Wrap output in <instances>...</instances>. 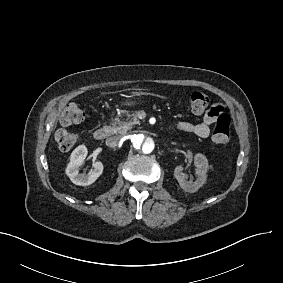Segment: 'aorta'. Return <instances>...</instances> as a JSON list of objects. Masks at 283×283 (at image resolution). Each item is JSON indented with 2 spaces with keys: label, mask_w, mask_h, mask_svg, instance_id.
I'll use <instances>...</instances> for the list:
<instances>
[{
  "label": "aorta",
  "mask_w": 283,
  "mask_h": 283,
  "mask_svg": "<svg viewBox=\"0 0 283 283\" xmlns=\"http://www.w3.org/2000/svg\"><path fill=\"white\" fill-rule=\"evenodd\" d=\"M130 141V151L137 156L151 155L156 149V141L148 132L135 133Z\"/></svg>",
  "instance_id": "obj_1"
}]
</instances>
